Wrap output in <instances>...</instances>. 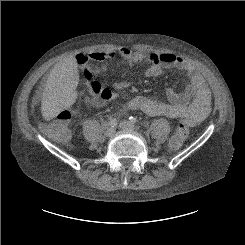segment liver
Masks as SVG:
<instances>
[{
	"mask_svg": "<svg viewBox=\"0 0 245 245\" xmlns=\"http://www.w3.org/2000/svg\"><path fill=\"white\" fill-rule=\"evenodd\" d=\"M78 81L75 57H66L52 68L41 100V113L46 121L74 104Z\"/></svg>",
	"mask_w": 245,
	"mask_h": 245,
	"instance_id": "6515ba94",
	"label": "liver"
}]
</instances>
